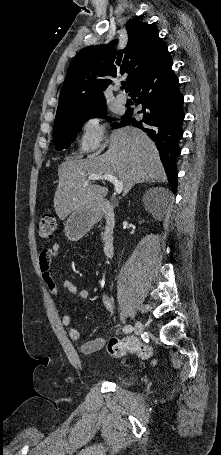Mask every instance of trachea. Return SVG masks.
<instances>
[{"label":"trachea","instance_id":"obj_1","mask_svg":"<svg viewBox=\"0 0 221 455\" xmlns=\"http://www.w3.org/2000/svg\"><path fill=\"white\" fill-rule=\"evenodd\" d=\"M125 88H126V85L122 84L121 89H125Z\"/></svg>","mask_w":221,"mask_h":455}]
</instances>
